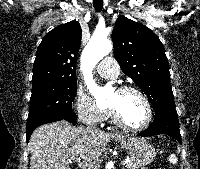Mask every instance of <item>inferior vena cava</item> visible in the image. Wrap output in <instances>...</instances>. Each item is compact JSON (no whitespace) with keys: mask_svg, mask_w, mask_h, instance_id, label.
I'll list each match as a JSON object with an SVG mask.
<instances>
[{"mask_svg":"<svg viewBox=\"0 0 200 169\" xmlns=\"http://www.w3.org/2000/svg\"><path fill=\"white\" fill-rule=\"evenodd\" d=\"M87 129H88V128H87ZM91 129L97 130V128H96V127H91Z\"/></svg>","mask_w":200,"mask_h":169,"instance_id":"obj_1","label":"inferior vena cava"}]
</instances>
